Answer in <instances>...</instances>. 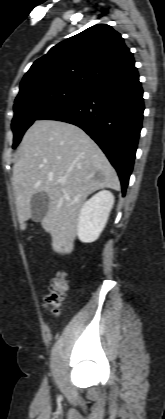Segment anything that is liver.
<instances>
[{
  "label": "liver",
  "instance_id": "liver-1",
  "mask_svg": "<svg viewBox=\"0 0 165 419\" xmlns=\"http://www.w3.org/2000/svg\"><path fill=\"white\" fill-rule=\"evenodd\" d=\"M13 166V189L22 230L31 218L34 194L49 197L41 220L51 234L55 252L74 248L80 209L86 198L102 188H120L119 179L99 146L79 127L56 120H37L27 130ZM65 179V183L60 180Z\"/></svg>",
  "mask_w": 165,
  "mask_h": 419
}]
</instances>
